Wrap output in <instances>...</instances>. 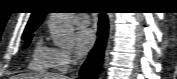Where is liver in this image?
Wrapping results in <instances>:
<instances>
[{
	"label": "liver",
	"mask_w": 177,
	"mask_h": 79,
	"mask_svg": "<svg viewBox=\"0 0 177 79\" xmlns=\"http://www.w3.org/2000/svg\"><path fill=\"white\" fill-rule=\"evenodd\" d=\"M15 79H68L65 76L62 75H22V76H16Z\"/></svg>",
	"instance_id": "liver-1"
}]
</instances>
